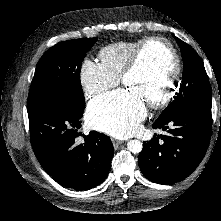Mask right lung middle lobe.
<instances>
[{
	"label": "right lung middle lobe",
	"instance_id": "obj_1",
	"mask_svg": "<svg viewBox=\"0 0 221 221\" xmlns=\"http://www.w3.org/2000/svg\"><path fill=\"white\" fill-rule=\"evenodd\" d=\"M96 41V37L62 41L41 57L28 94V113L56 100H67L75 108L84 110L80 69Z\"/></svg>",
	"mask_w": 221,
	"mask_h": 221
}]
</instances>
